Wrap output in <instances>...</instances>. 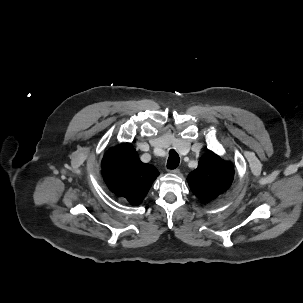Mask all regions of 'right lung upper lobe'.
Listing matches in <instances>:
<instances>
[{
  "label": "right lung upper lobe",
  "mask_w": 303,
  "mask_h": 303,
  "mask_svg": "<svg viewBox=\"0 0 303 303\" xmlns=\"http://www.w3.org/2000/svg\"><path fill=\"white\" fill-rule=\"evenodd\" d=\"M102 175L111 192L126 198L132 205H139L159 172L140 161L132 144L122 143L105 153Z\"/></svg>",
  "instance_id": "cb5924a9"
}]
</instances>
